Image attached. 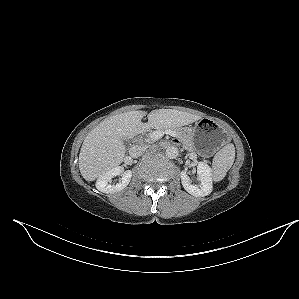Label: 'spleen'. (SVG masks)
<instances>
[{
	"label": "spleen",
	"instance_id": "obj_1",
	"mask_svg": "<svg viewBox=\"0 0 299 299\" xmlns=\"http://www.w3.org/2000/svg\"><path fill=\"white\" fill-rule=\"evenodd\" d=\"M235 160V147L227 144L220 149L213 158L212 178L219 182L226 176L227 171L232 167Z\"/></svg>",
	"mask_w": 299,
	"mask_h": 299
}]
</instances>
